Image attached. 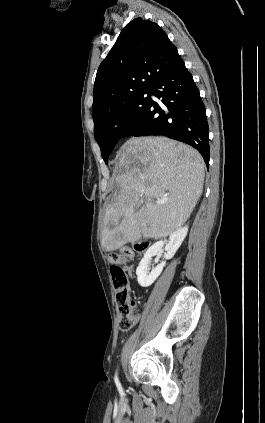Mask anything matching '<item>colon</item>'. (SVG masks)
I'll use <instances>...</instances> for the list:
<instances>
[{"label":"colon","instance_id":"colon-1","mask_svg":"<svg viewBox=\"0 0 265 423\" xmlns=\"http://www.w3.org/2000/svg\"><path fill=\"white\" fill-rule=\"evenodd\" d=\"M149 247L148 242H136L132 247H123L119 252L110 255L111 276L116 289V302L119 314V328L131 329L137 321L136 303L131 298L128 277L122 264L131 260L134 254L143 253Z\"/></svg>","mask_w":265,"mask_h":423}]
</instances>
